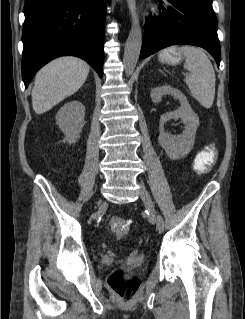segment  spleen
Listing matches in <instances>:
<instances>
[{
    "label": "spleen",
    "instance_id": "obj_1",
    "mask_svg": "<svg viewBox=\"0 0 245 319\" xmlns=\"http://www.w3.org/2000/svg\"><path fill=\"white\" fill-rule=\"evenodd\" d=\"M185 57L184 68L191 72L185 78L193 97L205 108L209 109L215 96V72L207 54L200 48L184 45L179 48Z\"/></svg>",
    "mask_w": 245,
    "mask_h": 319
}]
</instances>
